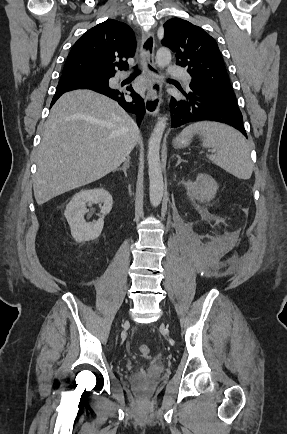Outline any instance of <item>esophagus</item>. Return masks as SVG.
I'll return each instance as SVG.
<instances>
[{"label":"esophagus","mask_w":287,"mask_h":434,"mask_svg":"<svg viewBox=\"0 0 287 434\" xmlns=\"http://www.w3.org/2000/svg\"><path fill=\"white\" fill-rule=\"evenodd\" d=\"M154 47V34L151 31H142L140 58L144 69L143 76L146 89L144 97L145 109L149 115L157 116L162 102V83L159 75L148 68V65L155 67Z\"/></svg>","instance_id":"obj_1"}]
</instances>
